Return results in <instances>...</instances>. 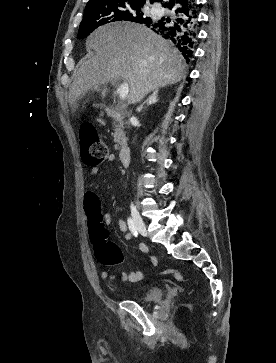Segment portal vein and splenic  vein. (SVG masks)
<instances>
[{"label":"portal vein and splenic vein","mask_w":276,"mask_h":363,"mask_svg":"<svg viewBox=\"0 0 276 363\" xmlns=\"http://www.w3.org/2000/svg\"><path fill=\"white\" fill-rule=\"evenodd\" d=\"M117 92L119 94L120 99L124 100L129 92V85L128 83L124 82L122 84L119 85Z\"/></svg>","instance_id":"18ae733b"}]
</instances>
